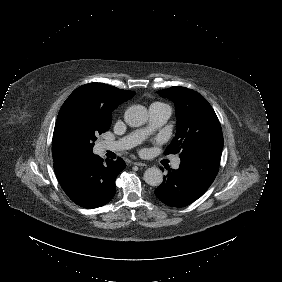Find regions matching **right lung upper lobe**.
Listing matches in <instances>:
<instances>
[{
    "instance_id": "right-lung-upper-lobe-1",
    "label": "right lung upper lobe",
    "mask_w": 282,
    "mask_h": 282,
    "mask_svg": "<svg viewBox=\"0 0 282 282\" xmlns=\"http://www.w3.org/2000/svg\"><path fill=\"white\" fill-rule=\"evenodd\" d=\"M134 94L135 92L133 91H125L103 83H89L74 90L68 97V99L64 102L61 109L63 110L66 106L72 103L82 101H97L102 105H104L105 103H110L118 106L124 101L132 98ZM52 154L54 163L64 159L58 154L53 144Z\"/></svg>"
}]
</instances>
